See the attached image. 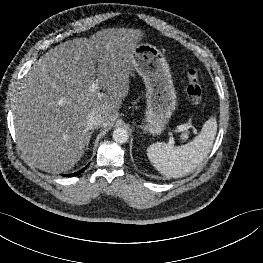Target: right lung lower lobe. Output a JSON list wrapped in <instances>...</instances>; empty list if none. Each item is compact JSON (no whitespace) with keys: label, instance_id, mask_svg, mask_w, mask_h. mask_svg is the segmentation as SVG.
Returning <instances> with one entry per match:
<instances>
[{"label":"right lung lower lobe","instance_id":"1","mask_svg":"<svg viewBox=\"0 0 263 263\" xmlns=\"http://www.w3.org/2000/svg\"><path fill=\"white\" fill-rule=\"evenodd\" d=\"M85 168H86V167H85ZM85 168H83L82 170H80V171H78V172H76V173L68 174V175H64V176H68V177H70V176H76V175L80 174Z\"/></svg>","mask_w":263,"mask_h":263}]
</instances>
